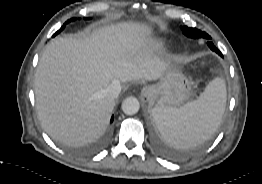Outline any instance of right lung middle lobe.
Instances as JSON below:
<instances>
[{
	"label": "right lung middle lobe",
	"instance_id": "obj_1",
	"mask_svg": "<svg viewBox=\"0 0 262 184\" xmlns=\"http://www.w3.org/2000/svg\"><path fill=\"white\" fill-rule=\"evenodd\" d=\"M75 19H76V18H73L72 20H75ZM87 19H89V18H87ZM72 20H68L66 23H68V22H70V21H72ZM65 25H66V24H64V25L61 27V29H59L53 36H55L56 34L60 33V32L64 29Z\"/></svg>",
	"mask_w": 262,
	"mask_h": 184
}]
</instances>
